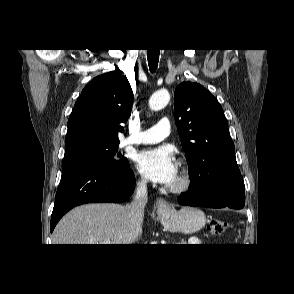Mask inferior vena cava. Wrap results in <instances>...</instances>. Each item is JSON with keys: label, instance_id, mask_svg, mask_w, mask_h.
Returning a JSON list of instances; mask_svg holds the SVG:
<instances>
[{"label": "inferior vena cava", "instance_id": "inferior-vena-cava-1", "mask_svg": "<svg viewBox=\"0 0 294 294\" xmlns=\"http://www.w3.org/2000/svg\"><path fill=\"white\" fill-rule=\"evenodd\" d=\"M147 194V181L142 180L141 182H138L134 198L127 206L130 219V229L133 233L138 234L141 232L144 218V208L148 200Z\"/></svg>", "mask_w": 294, "mask_h": 294}]
</instances>
